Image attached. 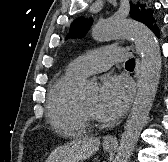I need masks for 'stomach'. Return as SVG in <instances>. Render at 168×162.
<instances>
[{
	"mask_svg": "<svg viewBox=\"0 0 168 162\" xmlns=\"http://www.w3.org/2000/svg\"><path fill=\"white\" fill-rule=\"evenodd\" d=\"M113 149H114L113 146H104V150H105L106 152H111Z\"/></svg>",
	"mask_w": 168,
	"mask_h": 162,
	"instance_id": "stomach-1",
	"label": "stomach"
}]
</instances>
